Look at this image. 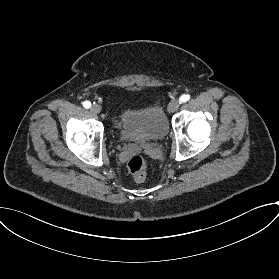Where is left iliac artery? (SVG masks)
I'll return each instance as SVG.
<instances>
[{
  "instance_id": "1",
  "label": "left iliac artery",
  "mask_w": 279,
  "mask_h": 279,
  "mask_svg": "<svg viewBox=\"0 0 279 279\" xmlns=\"http://www.w3.org/2000/svg\"><path fill=\"white\" fill-rule=\"evenodd\" d=\"M189 99H190V95L184 94L180 97L179 102L181 104V103H184V102L188 101Z\"/></svg>"
}]
</instances>
